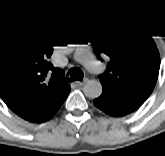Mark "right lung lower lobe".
Returning <instances> with one entry per match:
<instances>
[{
  "label": "right lung lower lobe",
  "instance_id": "98d812e1",
  "mask_svg": "<svg viewBox=\"0 0 165 156\" xmlns=\"http://www.w3.org/2000/svg\"><path fill=\"white\" fill-rule=\"evenodd\" d=\"M61 105H62V104H61ZM61 105H60V106H61ZM60 106H59L54 112H52V113L49 114L48 116L42 118L41 120H39V121L36 122V123H42V122H45V121L49 120L50 118H52V117L54 116V114L57 112V110L60 108Z\"/></svg>",
  "mask_w": 165,
  "mask_h": 156
}]
</instances>
